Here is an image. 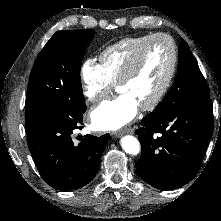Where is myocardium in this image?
<instances>
[{
	"instance_id": "1",
	"label": "myocardium",
	"mask_w": 221,
	"mask_h": 221,
	"mask_svg": "<svg viewBox=\"0 0 221 221\" xmlns=\"http://www.w3.org/2000/svg\"><path fill=\"white\" fill-rule=\"evenodd\" d=\"M157 39H166L169 41L172 51L171 65L167 77L163 82L162 86L160 87V89L158 90V92L153 96L151 100H149L144 105L140 106V109L142 111H148L154 109L163 100V98L167 94L173 82L178 64V48L174 38L166 33H156L151 35L136 49V51L129 58L122 73L120 74L116 82V87L118 89L122 84L129 81L135 75V73L137 72L140 66L142 55L145 49L148 47L150 43H152Z\"/></svg>"
}]
</instances>
